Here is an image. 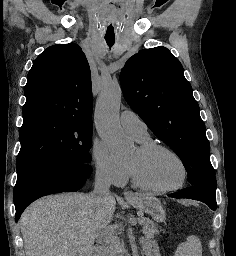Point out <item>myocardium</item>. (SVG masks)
<instances>
[{
    "label": "myocardium",
    "instance_id": "f54148a6",
    "mask_svg": "<svg viewBox=\"0 0 236 256\" xmlns=\"http://www.w3.org/2000/svg\"><path fill=\"white\" fill-rule=\"evenodd\" d=\"M137 151L141 157H145L147 155L154 154L158 151L167 152V153L173 155L179 161V163L182 166V170H183L182 178H181L180 182L177 183L176 185H173L170 187H155V186L150 185L149 183H147L144 180V178L142 177L137 166L128 164L131 179H132L133 183L141 190L149 192V193H157V194L168 193V192H172V191L180 189L186 183L187 177H188L187 164H186L185 160L182 158V156L178 152H176L174 149H172L166 145H163V144L149 142V143L141 144L140 146H138Z\"/></svg>",
    "mask_w": 236,
    "mask_h": 256
}]
</instances>
